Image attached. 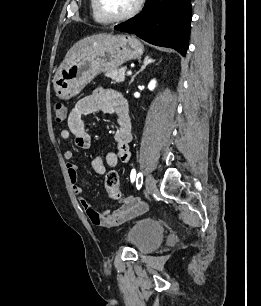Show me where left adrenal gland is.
Wrapping results in <instances>:
<instances>
[{"mask_svg":"<svg viewBox=\"0 0 261 306\" xmlns=\"http://www.w3.org/2000/svg\"><path fill=\"white\" fill-rule=\"evenodd\" d=\"M155 60L154 59H151L149 56L145 57L144 61H143V65L141 67V69L135 74L132 76L130 82H129V85L134 81L135 77L140 73L142 72L149 64L153 63Z\"/></svg>","mask_w":261,"mask_h":306,"instance_id":"left-adrenal-gland-1","label":"left adrenal gland"}]
</instances>
